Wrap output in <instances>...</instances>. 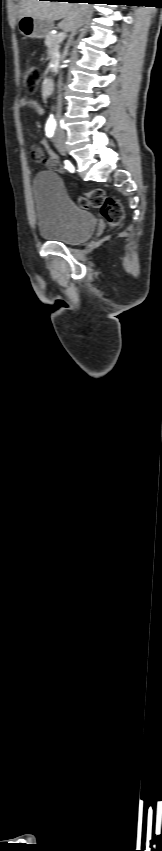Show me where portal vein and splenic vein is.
<instances>
[{"instance_id": "obj_1", "label": "portal vein and splenic vein", "mask_w": 162, "mask_h": 851, "mask_svg": "<svg viewBox=\"0 0 162 851\" xmlns=\"http://www.w3.org/2000/svg\"><path fill=\"white\" fill-rule=\"evenodd\" d=\"M64 37H65V32H64V31H62L61 33H59V34H58V38H60V39H62V40H63V39H64Z\"/></svg>"}]
</instances>
